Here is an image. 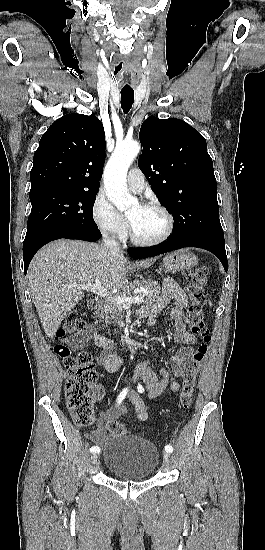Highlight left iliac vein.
I'll return each instance as SVG.
<instances>
[{
  "label": "left iliac vein",
  "instance_id": "obj_1",
  "mask_svg": "<svg viewBox=\"0 0 265 550\" xmlns=\"http://www.w3.org/2000/svg\"><path fill=\"white\" fill-rule=\"evenodd\" d=\"M170 460H171V456L168 452H164L163 453V465L164 467H167L170 463Z\"/></svg>",
  "mask_w": 265,
  "mask_h": 550
}]
</instances>
